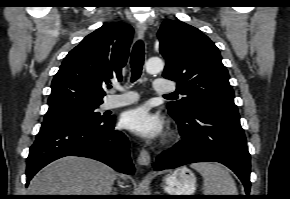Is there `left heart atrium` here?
Here are the masks:
<instances>
[{
  "label": "left heart atrium",
  "instance_id": "obj_1",
  "mask_svg": "<svg viewBox=\"0 0 290 199\" xmlns=\"http://www.w3.org/2000/svg\"><path fill=\"white\" fill-rule=\"evenodd\" d=\"M124 128L145 139H155L163 132V119L159 114L152 113L146 106H138L126 111L121 118Z\"/></svg>",
  "mask_w": 290,
  "mask_h": 199
}]
</instances>
